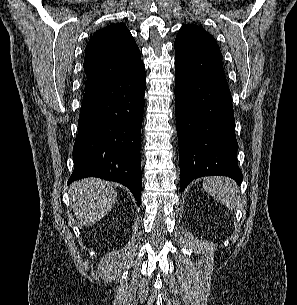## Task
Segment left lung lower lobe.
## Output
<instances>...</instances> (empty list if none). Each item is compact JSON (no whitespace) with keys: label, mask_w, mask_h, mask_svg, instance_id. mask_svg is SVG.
I'll return each mask as SVG.
<instances>
[{"label":"left lung lower lobe","mask_w":297,"mask_h":305,"mask_svg":"<svg viewBox=\"0 0 297 305\" xmlns=\"http://www.w3.org/2000/svg\"><path fill=\"white\" fill-rule=\"evenodd\" d=\"M180 188L203 176L242 182L231 93L223 71L188 73L175 63Z\"/></svg>","instance_id":"0a47b994"}]
</instances>
